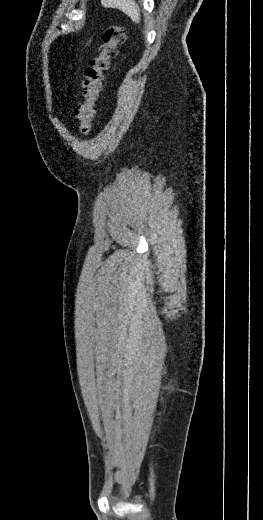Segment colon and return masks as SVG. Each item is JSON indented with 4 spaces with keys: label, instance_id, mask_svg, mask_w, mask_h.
<instances>
[{
    "label": "colon",
    "instance_id": "obj_1",
    "mask_svg": "<svg viewBox=\"0 0 263 520\" xmlns=\"http://www.w3.org/2000/svg\"><path fill=\"white\" fill-rule=\"evenodd\" d=\"M125 40V30L121 25H110L104 32L102 42L95 56L85 70L83 80V102L75 110L79 129L83 134H89L96 115V101L102 89L104 73L109 69L110 62L118 53V47Z\"/></svg>",
    "mask_w": 263,
    "mask_h": 520
}]
</instances>
